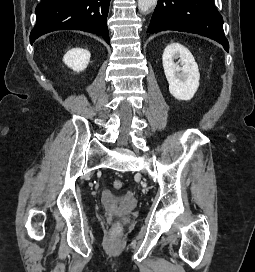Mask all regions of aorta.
Wrapping results in <instances>:
<instances>
[{"label":"aorta","instance_id":"1","mask_svg":"<svg viewBox=\"0 0 255 272\" xmlns=\"http://www.w3.org/2000/svg\"><path fill=\"white\" fill-rule=\"evenodd\" d=\"M157 3V0H138V9L142 13H148L149 10L154 7Z\"/></svg>","mask_w":255,"mask_h":272}]
</instances>
